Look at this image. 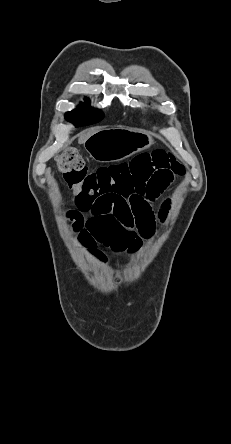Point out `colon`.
I'll list each match as a JSON object with an SVG mask.
<instances>
[{
  "instance_id": "colon-1",
  "label": "colon",
  "mask_w": 231,
  "mask_h": 444,
  "mask_svg": "<svg viewBox=\"0 0 231 444\" xmlns=\"http://www.w3.org/2000/svg\"><path fill=\"white\" fill-rule=\"evenodd\" d=\"M58 167L77 199L114 197L126 202L132 210L155 195L156 184L167 186L185 168L163 150L145 153L128 163L100 167L89 171L84 159L74 149L58 157Z\"/></svg>"
}]
</instances>
